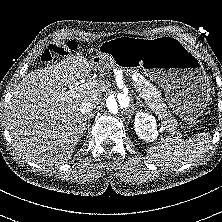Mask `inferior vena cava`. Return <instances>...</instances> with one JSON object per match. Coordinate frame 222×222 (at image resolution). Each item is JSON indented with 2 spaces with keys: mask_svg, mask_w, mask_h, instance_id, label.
<instances>
[{
  "mask_svg": "<svg viewBox=\"0 0 222 222\" xmlns=\"http://www.w3.org/2000/svg\"><path fill=\"white\" fill-rule=\"evenodd\" d=\"M94 108H96L95 101L93 99L86 100L82 103V106L80 108L81 114H89Z\"/></svg>",
  "mask_w": 222,
  "mask_h": 222,
  "instance_id": "1",
  "label": "inferior vena cava"
}]
</instances>
